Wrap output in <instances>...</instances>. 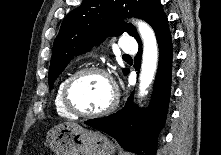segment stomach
<instances>
[{
	"instance_id": "obj_1",
	"label": "stomach",
	"mask_w": 221,
	"mask_h": 155,
	"mask_svg": "<svg viewBox=\"0 0 221 155\" xmlns=\"http://www.w3.org/2000/svg\"><path fill=\"white\" fill-rule=\"evenodd\" d=\"M47 142L55 155H113L116 150L113 142L101 132L74 123L54 126Z\"/></svg>"
}]
</instances>
